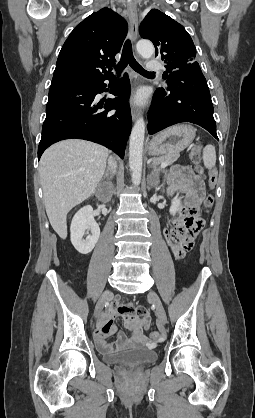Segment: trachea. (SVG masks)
Segmentation results:
<instances>
[{"label": "trachea", "instance_id": "1", "mask_svg": "<svg viewBox=\"0 0 255 418\" xmlns=\"http://www.w3.org/2000/svg\"><path fill=\"white\" fill-rule=\"evenodd\" d=\"M128 64L134 71L142 75L154 74V72H148L144 70L143 67L136 61L133 56L132 45L129 39H127L124 43L121 60L116 66V72L121 74V72L126 68Z\"/></svg>", "mask_w": 255, "mask_h": 418}]
</instances>
